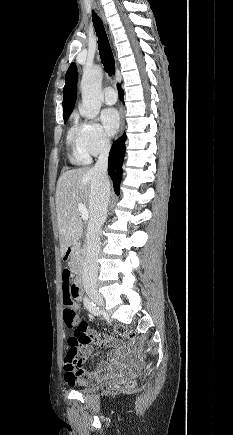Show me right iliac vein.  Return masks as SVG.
I'll list each match as a JSON object with an SVG mask.
<instances>
[{
    "label": "right iliac vein",
    "mask_w": 233,
    "mask_h": 435,
    "mask_svg": "<svg viewBox=\"0 0 233 435\" xmlns=\"http://www.w3.org/2000/svg\"><path fill=\"white\" fill-rule=\"evenodd\" d=\"M88 295L97 305H99V306L104 305V299L98 292H95L93 290H89Z\"/></svg>",
    "instance_id": "obj_1"
}]
</instances>
